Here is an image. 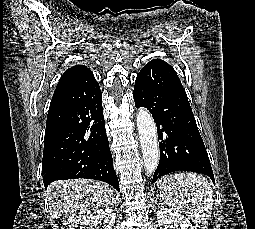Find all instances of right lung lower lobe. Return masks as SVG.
<instances>
[{"label":"right lung lower lobe","instance_id":"right-lung-lower-lobe-1","mask_svg":"<svg viewBox=\"0 0 255 229\" xmlns=\"http://www.w3.org/2000/svg\"><path fill=\"white\" fill-rule=\"evenodd\" d=\"M51 130L56 136L42 162L46 187L55 180L88 178L120 191L105 130L101 90L88 68L70 77L62 92L52 98L46 122V131Z\"/></svg>","mask_w":255,"mask_h":229}]
</instances>
